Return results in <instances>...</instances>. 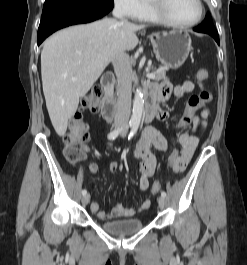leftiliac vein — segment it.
I'll use <instances>...</instances> for the list:
<instances>
[{"label":"left iliac vein","mask_w":247,"mask_h":265,"mask_svg":"<svg viewBox=\"0 0 247 265\" xmlns=\"http://www.w3.org/2000/svg\"><path fill=\"white\" fill-rule=\"evenodd\" d=\"M158 203H159V207L161 209H163L165 207V204H166V198L163 196H160L158 199Z\"/></svg>","instance_id":"obj_1"}]
</instances>
